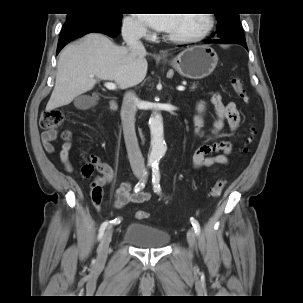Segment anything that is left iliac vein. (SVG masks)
<instances>
[{
	"label": "left iliac vein",
	"mask_w": 303,
	"mask_h": 303,
	"mask_svg": "<svg viewBox=\"0 0 303 303\" xmlns=\"http://www.w3.org/2000/svg\"><path fill=\"white\" fill-rule=\"evenodd\" d=\"M187 241L189 244L190 249H193L195 243H196V235L193 228H190L187 232Z\"/></svg>",
	"instance_id": "1"
}]
</instances>
